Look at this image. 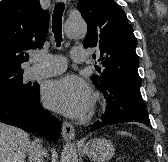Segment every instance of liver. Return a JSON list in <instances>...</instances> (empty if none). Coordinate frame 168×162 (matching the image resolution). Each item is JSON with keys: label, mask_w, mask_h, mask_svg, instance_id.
Instances as JSON below:
<instances>
[{"label": "liver", "mask_w": 168, "mask_h": 162, "mask_svg": "<svg viewBox=\"0 0 168 162\" xmlns=\"http://www.w3.org/2000/svg\"><path fill=\"white\" fill-rule=\"evenodd\" d=\"M30 145L25 131L0 123V162H25Z\"/></svg>", "instance_id": "6515ba94"}]
</instances>
